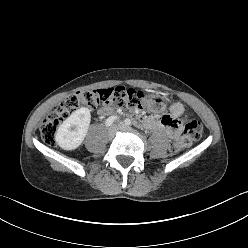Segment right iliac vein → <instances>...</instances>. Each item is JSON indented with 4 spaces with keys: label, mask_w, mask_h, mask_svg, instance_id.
Wrapping results in <instances>:
<instances>
[{
    "label": "right iliac vein",
    "mask_w": 248,
    "mask_h": 248,
    "mask_svg": "<svg viewBox=\"0 0 248 248\" xmlns=\"http://www.w3.org/2000/svg\"><path fill=\"white\" fill-rule=\"evenodd\" d=\"M117 131V127L116 126H112L109 131H108V137L109 138H113L115 133Z\"/></svg>",
    "instance_id": "right-iliac-vein-1"
}]
</instances>
